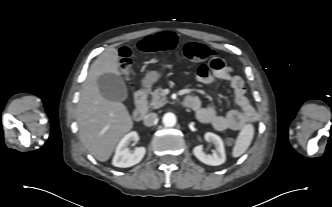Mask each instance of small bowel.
Segmentation results:
<instances>
[{
	"instance_id": "obj_1",
	"label": "small bowel",
	"mask_w": 332,
	"mask_h": 207,
	"mask_svg": "<svg viewBox=\"0 0 332 207\" xmlns=\"http://www.w3.org/2000/svg\"><path fill=\"white\" fill-rule=\"evenodd\" d=\"M197 80L204 84H214L220 81L227 82L235 92V102L238 110H231L224 114L218 113L214 108L204 106L197 96L189 107L196 118L205 124L211 125L217 131L238 130L246 123L255 122L257 113L246 96V88L241 77L233 73V69L222 59L210 61L208 65L202 64L196 70Z\"/></svg>"
}]
</instances>
